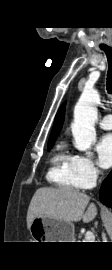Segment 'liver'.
<instances>
[{
	"instance_id": "liver-1",
	"label": "liver",
	"mask_w": 112,
	"mask_h": 270,
	"mask_svg": "<svg viewBox=\"0 0 112 270\" xmlns=\"http://www.w3.org/2000/svg\"><path fill=\"white\" fill-rule=\"evenodd\" d=\"M89 201L90 197L85 193L67 188H39L33 195L28 208L27 227L30 228L36 217H47L66 222H78L82 219L84 223H88L97 215L96 205L89 204Z\"/></svg>"
}]
</instances>
